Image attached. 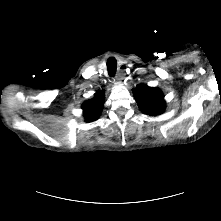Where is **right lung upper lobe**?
<instances>
[{
  "mask_svg": "<svg viewBox=\"0 0 221 221\" xmlns=\"http://www.w3.org/2000/svg\"><path fill=\"white\" fill-rule=\"evenodd\" d=\"M103 101V92L99 91L95 94L94 99L88 100L83 103V114L87 122L95 121L99 117L103 107Z\"/></svg>",
  "mask_w": 221,
  "mask_h": 221,
  "instance_id": "right-lung-upper-lobe-1",
  "label": "right lung upper lobe"
}]
</instances>
